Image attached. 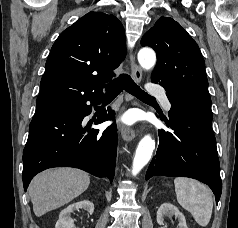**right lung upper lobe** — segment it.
Here are the masks:
<instances>
[{
    "mask_svg": "<svg viewBox=\"0 0 238 228\" xmlns=\"http://www.w3.org/2000/svg\"><path fill=\"white\" fill-rule=\"evenodd\" d=\"M126 54L125 33L113 15L89 12L64 30L53 44L41 80L36 110L103 94Z\"/></svg>",
    "mask_w": 238,
    "mask_h": 228,
    "instance_id": "1",
    "label": "right lung upper lobe"
}]
</instances>
